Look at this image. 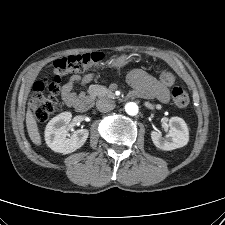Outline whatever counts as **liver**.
Segmentation results:
<instances>
[{
    "instance_id": "6515ba94",
    "label": "liver",
    "mask_w": 225,
    "mask_h": 225,
    "mask_svg": "<svg viewBox=\"0 0 225 225\" xmlns=\"http://www.w3.org/2000/svg\"><path fill=\"white\" fill-rule=\"evenodd\" d=\"M26 127L31 141L37 145H41V136L38 130L36 120L30 109L26 112Z\"/></svg>"
}]
</instances>
